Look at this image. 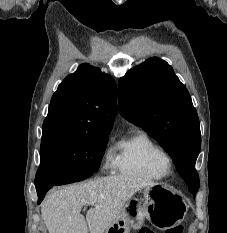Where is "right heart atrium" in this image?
<instances>
[{"instance_id":"obj_1","label":"right heart atrium","mask_w":227,"mask_h":233,"mask_svg":"<svg viewBox=\"0 0 227 233\" xmlns=\"http://www.w3.org/2000/svg\"><path fill=\"white\" fill-rule=\"evenodd\" d=\"M103 157H104V159L106 161L105 167H108L109 162L111 160V156H110L109 152H107V151L104 152Z\"/></svg>"}]
</instances>
